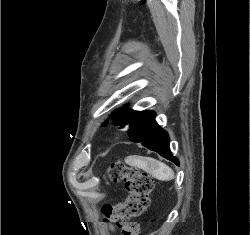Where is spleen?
Masks as SVG:
<instances>
[{
    "instance_id": "3e777b00",
    "label": "spleen",
    "mask_w": 250,
    "mask_h": 235,
    "mask_svg": "<svg viewBox=\"0 0 250 235\" xmlns=\"http://www.w3.org/2000/svg\"><path fill=\"white\" fill-rule=\"evenodd\" d=\"M125 162L131 166L141 168L158 180L170 181L174 179V171L165 163L154 158L129 156L125 159Z\"/></svg>"
}]
</instances>
